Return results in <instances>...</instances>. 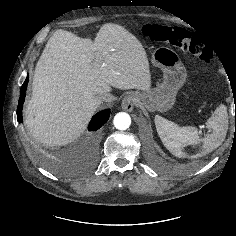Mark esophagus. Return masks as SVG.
I'll use <instances>...</instances> for the list:
<instances>
[{
	"label": "esophagus",
	"mask_w": 236,
	"mask_h": 236,
	"mask_svg": "<svg viewBox=\"0 0 236 236\" xmlns=\"http://www.w3.org/2000/svg\"><path fill=\"white\" fill-rule=\"evenodd\" d=\"M136 104V97L134 94L130 93L128 94L123 100H122V109L125 111H132Z\"/></svg>",
	"instance_id": "34e87169"
}]
</instances>
